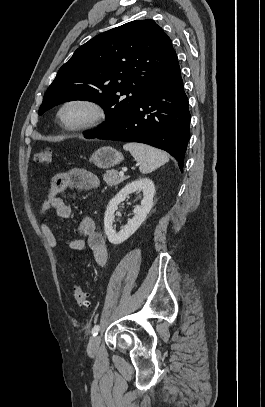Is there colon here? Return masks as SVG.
Returning <instances> with one entry per match:
<instances>
[{
    "mask_svg": "<svg viewBox=\"0 0 265 407\" xmlns=\"http://www.w3.org/2000/svg\"><path fill=\"white\" fill-rule=\"evenodd\" d=\"M34 162L37 164H49L52 161V151L50 149H43L38 151L33 158ZM74 301L75 303L84 310H89L91 308V302L88 299L87 291L80 285H74Z\"/></svg>",
    "mask_w": 265,
    "mask_h": 407,
    "instance_id": "5ec220e1",
    "label": "colon"
}]
</instances>
